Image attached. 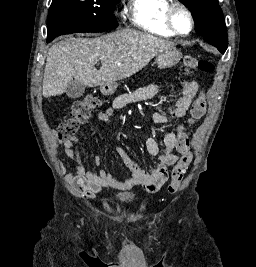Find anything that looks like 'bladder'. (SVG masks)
<instances>
[{
	"mask_svg": "<svg viewBox=\"0 0 256 267\" xmlns=\"http://www.w3.org/2000/svg\"><path fill=\"white\" fill-rule=\"evenodd\" d=\"M134 198L133 192L117 193L114 196L115 202L131 201Z\"/></svg>",
	"mask_w": 256,
	"mask_h": 267,
	"instance_id": "31cf9c89",
	"label": "bladder"
}]
</instances>
